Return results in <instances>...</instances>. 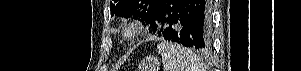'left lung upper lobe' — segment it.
I'll return each instance as SVG.
<instances>
[{"label": "left lung upper lobe", "instance_id": "left-lung-upper-lobe-1", "mask_svg": "<svg viewBox=\"0 0 301 71\" xmlns=\"http://www.w3.org/2000/svg\"><path fill=\"white\" fill-rule=\"evenodd\" d=\"M162 0H113L110 3L111 16L129 18L141 17L147 23L155 14Z\"/></svg>", "mask_w": 301, "mask_h": 71}]
</instances>
